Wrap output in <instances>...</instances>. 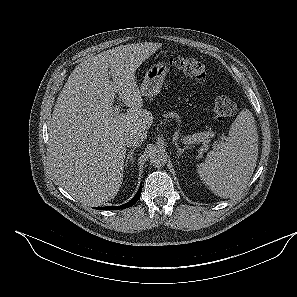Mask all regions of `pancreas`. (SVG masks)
I'll list each match as a JSON object with an SVG mask.
<instances>
[{
  "instance_id": "obj_1",
  "label": "pancreas",
  "mask_w": 297,
  "mask_h": 297,
  "mask_svg": "<svg viewBox=\"0 0 297 297\" xmlns=\"http://www.w3.org/2000/svg\"><path fill=\"white\" fill-rule=\"evenodd\" d=\"M164 117L165 118H169V117L178 118V116L173 112H168V113L164 114ZM210 136H211L210 132H199V133H194L192 136L185 137L184 140L186 141L190 137L193 140V144L203 143L204 145H206L208 143V139Z\"/></svg>"
}]
</instances>
